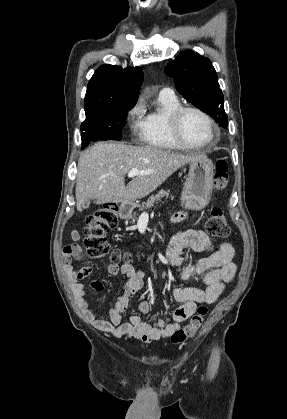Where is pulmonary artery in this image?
<instances>
[{"mask_svg":"<svg viewBox=\"0 0 287 419\" xmlns=\"http://www.w3.org/2000/svg\"><path fill=\"white\" fill-rule=\"evenodd\" d=\"M160 95H163V96H169V97H171V96H174V92H173V90H172L171 88H169V87H163V88L160 90Z\"/></svg>","mask_w":287,"mask_h":419,"instance_id":"obj_1","label":"pulmonary artery"}]
</instances>
